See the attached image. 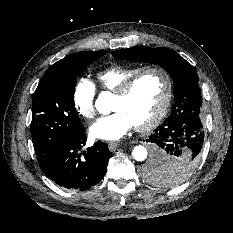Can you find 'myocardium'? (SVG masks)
Listing matches in <instances>:
<instances>
[{"label": "myocardium", "mask_w": 233, "mask_h": 233, "mask_svg": "<svg viewBox=\"0 0 233 233\" xmlns=\"http://www.w3.org/2000/svg\"><path fill=\"white\" fill-rule=\"evenodd\" d=\"M151 71L158 72L163 76L165 82V93L162 104L159 107L158 111L155 113V115L147 122L143 124L135 125V129L139 132H148L152 130L165 117L170 107L172 101V94H173V85L170 74L165 68L161 66H157V65L145 66L140 70H138L133 75H131L129 78H127L114 92L115 96L125 97L130 92L131 88L133 87L135 82L139 79V77Z\"/></svg>", "instance_id": "1"}]
</instances>
